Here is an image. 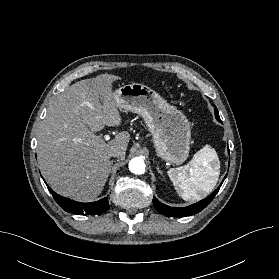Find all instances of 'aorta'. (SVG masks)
<instances>
[{
  "instance_id": "aorta-1",
  "label": "aorta",
  "mask_w": 279,
  "mask_h": 279,
  "mask_svg": "<svg viewBox=\"0 0 279 279\" xmlns=\"http://www.w3.org/2000/svg\"><path fill=\"white\" fill-rule=\"evenodd\" d=\"M129 170L137 175L143 174L145 172V163L141 157L133 158L129 162Z\"/></svg>"
}]
</instances>
